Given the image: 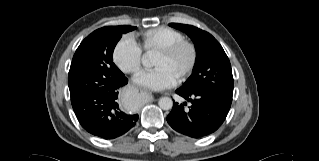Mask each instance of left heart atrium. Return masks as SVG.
Returning a JSON list of instances; mask_svg holds the SVG:
<instances>
[{
  "mask_svg": "<svg viewBox=\"0 0 319 161\" xmlns=\"http://www.w3.org/2000/svg\"><path fill=\"white\" fill-rule=\"evenodd\" d=\"M134 79L138 84L154 90H165L175 84V78L161 66L143 70Z\"/></svg>",
  "mask_w": 319,
  "mask_h": 161,
  "instance_id": "39dd6f15",
  "label": "left heart atrium"
}]
</instances>
